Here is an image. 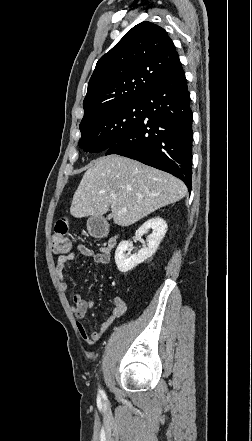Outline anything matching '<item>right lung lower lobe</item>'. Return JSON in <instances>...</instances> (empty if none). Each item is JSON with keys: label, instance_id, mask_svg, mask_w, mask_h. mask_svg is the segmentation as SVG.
<instances>
[{"label": "right lung lower lobe", "instance_id": "right-lung-lower-lobe-1", "mask_svg": "<svg viewBox=\"0 0 252 441\" xmlns=\"http://www.w3.org/2000/svg\"><path fill=\"white\" fill-rule=\"evenodd\" d=\"M138 124L105 155L118 154L171 173L191 191L192 111L181 63L141 98Z\"/></svg>", "mask_w": 252, "mask_h": 441}]
</instances>
